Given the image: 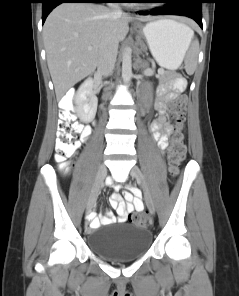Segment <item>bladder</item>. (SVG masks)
Masks as SVG:
<instances>
[{"label": "bladder", "mask_w": 239, "mask_h": 296, "mask_svg": "<svg viewBox=\"0 0 239 296\" xmlns=\"http://www.w3.org/2000/svg\"><path fill=\"white\" fill-rule=\"evenodd\" d=\"M88 244L104 259L134 260L149 250L152 244V233L142 226L116 223L97 228L88 237Z\"/></svg>", "instance_id": "31cf9c89"}]
</instances>
